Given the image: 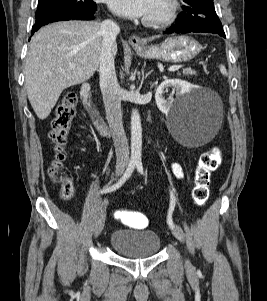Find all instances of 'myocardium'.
Returning <instances> with one entry per match:
<instances>
[{"mask_svg": "<svg viewBox=\"0 0 267 301\" xmlns=\"http://www.w3.org/2000/svg\"><path fill=\"white\" fill-rule=\"evenodd\" d=\"M163 3V10L156 16L144 18L143 23L150 27H163L171 24L180 12L179 0H160Z\"/></svg>", "mask_w": 267, "mask_h": 301, "instance_id": "1", "label": "myocardium"}]
</instances>
